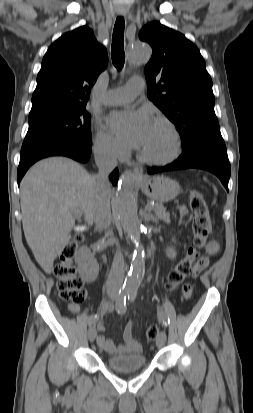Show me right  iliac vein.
Instances as JSON below:
<instances>
[{"label": "right iliac vein", "mask_w": 253, "mask_h": 413, "mask_svg": "<svg viewBox=\"0 0 253 413\" xmlns=\"http://www.w3.org/2000/svg\"><path fill=\"white\" fill-rule=\"evenodd\" d=\"M111 298L114 299L115 295H111ZM96 336H97L96 328L94 326H90L88 330V339L90 340V342H93Z\"/></svg>", "instance_id": "right-iliac-vein-1"}]
</instances>
